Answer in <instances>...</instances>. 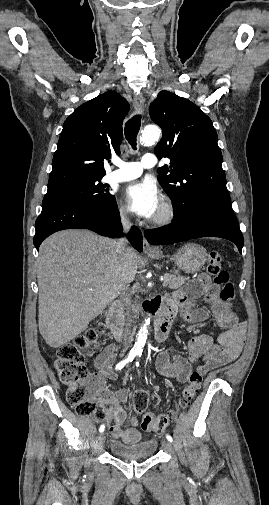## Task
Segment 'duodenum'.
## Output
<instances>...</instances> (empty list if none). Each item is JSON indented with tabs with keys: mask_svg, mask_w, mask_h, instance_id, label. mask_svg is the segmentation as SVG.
<instances>
[{
	"mask_svg": "<svg viewBox=\"0 0 269 505\" xmlns=\"http://www.w3.org/2000/svg\"><path fill=\"white\" fill-rule=\"evenodd\" d=\"M123 304L121 301H116L112 304L109 309L107 317V325L111 329L113 337L117 341H122L124 337V320L122 316ZM175 308L169 302L163 300L159 305V310L157 312L156 319L154 321V337L157 341H163L166 339Z\"/></svg>",
	"mask_w": 269,
	"mask_h": 505,
	"instance_id": "duodenum-1",
	"label": "duodenum"
}]
</instances>
